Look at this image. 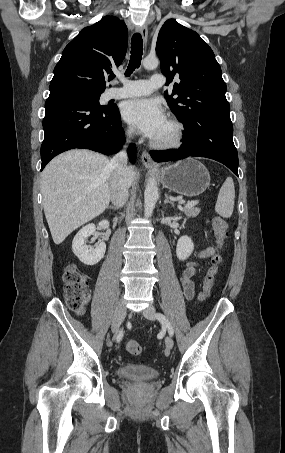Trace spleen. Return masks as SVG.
<instances>
[{
    "label": "spleen",
    "instance_id": "1",
    "mask_svg": "<svg viewBox=\"0 0 285 453\" xmlns=\"http://www.w3.org/2000/svg\"><path fill=\"white\" fill-rule=\"evenodd\" d=\"M235 187L231 177H227L220 188L215 211L223 218H230L234 209Z\"/></svg>",
    "mask_w": 285,
    "mask_h": 453
}]
</instances>
